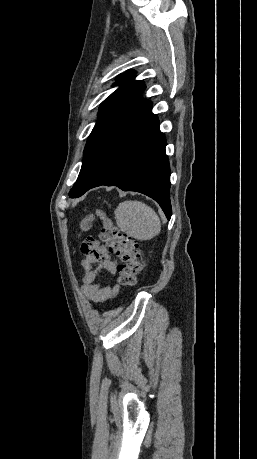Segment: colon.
I'll use <instances>...</instances> for the list:
<instances>
[{"mask_svg":"<svg viewBox=\"0 0 257 459\" xmlns=\"http://www.w3.org/2000/svg\"><path fill=\"white\" fill-rule=\"evenodd\" d=\"M95 216L103 220L100 238L110 251L120 259L118 266V281L122 286H134L141 271L140 251L138 243L128 235L119 231L117 226L101 209L94 212L86 211L80 219L81 230H87Z\"/></svg>","mask_w":257,"mask_h":459,"instance_id":"colon-1","label":"colon"}]
</instances>
